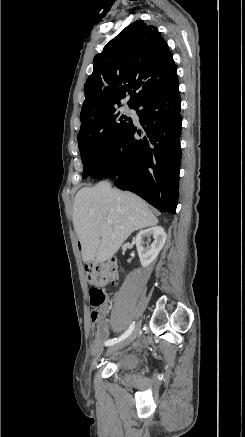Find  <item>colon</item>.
I'll use <instances>...</instances> for the list:
<instances>
[{
    "mask_svg": "<svg viewBox=\"0 0 245 437\" xmlns=\"http://www.w3.org/2000/svg\"><path fill=\"white\" fill-rule=\"evenodd\" d=\"M89 284L90 304L95 309L91 313V320L97 322L100 318V309L105 302L106 295L103 288L114 284L117 280V263L108 260L101 263H89L85 268ZM102 328L98 326L96 333L101 334Z\"/></svg>",
    "mask_w": 245,
    "mask_h": 437,
    "instance_id": "colon-1",
    "label": "colon"
}]
</instances>
